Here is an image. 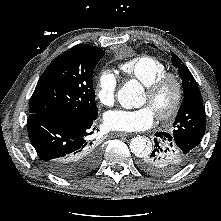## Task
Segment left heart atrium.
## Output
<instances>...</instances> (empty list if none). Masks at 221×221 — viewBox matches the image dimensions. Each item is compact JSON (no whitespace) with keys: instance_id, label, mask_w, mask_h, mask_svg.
<instances>
[{"instance_id":"1","label":"left heart atrium","mask_w":221,"mask_h":221,"mask_svg":"<svg viewBox=\"0 0 221 221\" xmlns=\"http://www.w3.org/2000/svg\"><path fill=\"white\" fill-rule=\"evenodd\" d=\"M155 113L149 106L139 109H115L104 114L105 126L114 131L134 132L149 128L154 121Z\"/></svg>"}]
</instances>
